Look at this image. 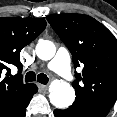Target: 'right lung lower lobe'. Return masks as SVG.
Listing matches in <instances>:
<instances>
[{
  "instance_id": "right-lung-lower-lobe-1",
  "label": "right lung lower lobe",
  "mask_w": 117,
  "mask_h": 117,
  "mask_svg": "<svg viewBox=\"0 0 117 117\" xmlns=\"http://www.w3.org/2000/svg\"><path fill=\"white\" fill-rule=\"evenodd\" d=\"M37 91V86L35 84H32L30 90L24 95V97L10 110L0 115V117H25L26 107Z\"/></svg>"
}]
</instances>
